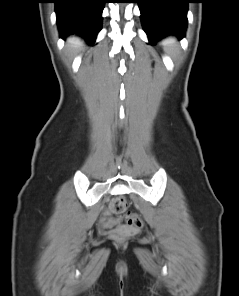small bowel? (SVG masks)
<instances>
[{"mask_svg":"<svg viewBox=\"0 0 239 296\" xmlns=\"http://www.w3.org/2000/svg\"><path fill=\"white\" fill-rule=\"evenodd\" d=\"M104 223L108 226L114 225L115 221L111 218L110 213L105 214Z\"/></svg>","mask_w":239,"mask_h":296,"instance_id":"c3829d8e","label":"small bowel"}]
</instances>
